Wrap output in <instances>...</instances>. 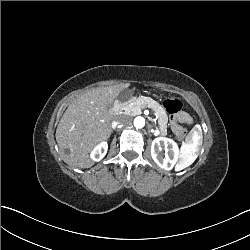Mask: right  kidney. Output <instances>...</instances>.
<instances>
[{"mask_svg": "<svg viewBox=\"0 0 250 250\" xmlns=\"http://www.w3.org/2000/svg\"><path fill=\"white\" fill-rule=\"evenodd\" d=\"M108 150V141L101 140L99 143L95 144L90 153L89 158L93 162H99L107 153Z\"/></svg>", "mask_w": 250, "mask_h": 250, "instance_id": "1", "label": "right kidney"}]
</instances>
